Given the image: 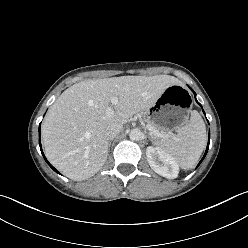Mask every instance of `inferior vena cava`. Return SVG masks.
I'll use <instances>...</instances> for the list:
<instances>
[{
	"instance_id": "obj_1",
	"label": "inferior vena cava",
	"mask_w": 248,
	"mask_h": 248,
	"mask_svg": "<svg viewBox=\"0 0 248 248\" xmlns=\"http://www.w3.org/2000/svg\"><path fill=\"white\" fill-rule=\"evenodd\" d=\"M121 131H122V125L112 124V125L107 127V129L105 131V135L108 139H113L114 137L119 135Z\"/></svg>"
}]
</instances>
